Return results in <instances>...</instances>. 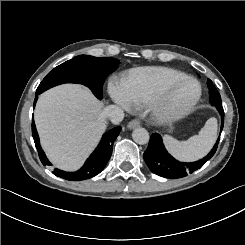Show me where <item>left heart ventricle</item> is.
Listing matches in <instances>:
<instances>
[{"mask_svg":"<svg viewBox=\"0 0 245 245\" xmlns=\"http://www.w3.org/2000/svg\"><path fill=\"white\" fill-rule=\"evenodd\" d=\"M197 92L196 85L191 81H186L171 88L164 94L165 103L178 109L189 104Z\"/></svg>","mask_w":245,"mask_h":245,"instance_id":"b2bd125f","label":"left heart ventricle"}]
</instances>
